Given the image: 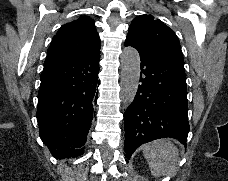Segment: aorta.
<instances>
[{
    "label": "aorta",
    "instance_id": "762f6f07",
    "mask_svg": "<svg viewBox=\"0 0 228 181\" xmlns=\"http://www.w3.org/2000/svg\"><path fill=\"white\" fill-rule=\"evenodd\" d=\"M140 56L133 47H125L121 54V98L125 105L133 102L140 77Z\"/></svg>",
    "mask_w": 228,
    "mask_h": 181
}]
</instances>
